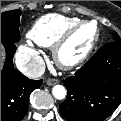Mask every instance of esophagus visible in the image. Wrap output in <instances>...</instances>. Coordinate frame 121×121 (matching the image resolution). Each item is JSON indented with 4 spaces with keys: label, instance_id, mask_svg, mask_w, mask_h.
Returning <instances> with one entry per match:
<instances>
[{
    "label": "esophagus",
    "instance_id": "1",
    "mask_svg": "<svg viewBox=\"0 0 121 121\" xmlns=\"http://www.w3.org/2000/svg\"><path fill=\"white\" fill-rule=\"evenodd\" d=\"M59 81L57 79H47L46 80V84L49 86H53L55 84H57Z\"/></svg>",
    "mask_w": 121,
    "mask_h": 121
}]
</instances>
